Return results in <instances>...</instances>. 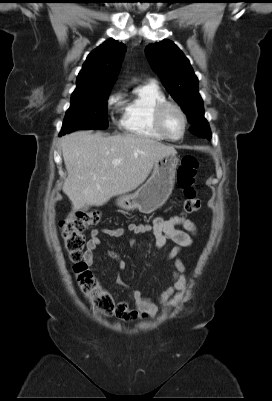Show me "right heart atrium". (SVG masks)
I'll return each mask as SVG.
<instances>
[{"mask_svg":"<svg viewBox=\"0 0 272 401\" xmlns=\"http://www.w3.org/2000/svg\"><path fill=\"white\" fill-rule=\"evenodd\" d=\"M122 99V93L120 91H115L112 92L106 101V106L108 108V110L113 111L114 109L117 108V106L119 105L120 101Z\"/></svg>","mask_w":272,"mask_h":401,"instance_id":"obj_1","label":"right heart atrium"}]
</instances>
